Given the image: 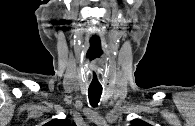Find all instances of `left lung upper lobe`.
Instances as JSON below:
<instances>
[{
    "instance_id": "obj_1",
    "label": "left lung upper lobe",
    "mask_w": 195,
    "mask_h": 126,
    "mask_svg": "<svg viewBox=\"0 0 195 126\" xmlns=\"http://www.w3.org/2000/svg\"><path fill=\"white\" fill-rule=\"evenodd\" d=\"M131 126H150V125L142 120L135 119L131 121Z\"/></svg>"
}]
</instances>
